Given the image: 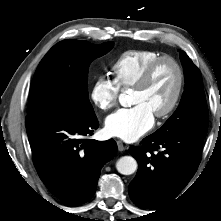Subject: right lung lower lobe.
I'll return each mask as SVG.
<instances>
[{
  "instance_id": "98d812e1",
  "label": "right lung lower lobe",
  "mask_w": 221,
  "mask_h": 221,
  "mask_svg": "<svg viewBox=\"0 0 221 221\" xmlns=\"http://www.w3.org/2000/svg\"><path fill=\"white\" fill-rule=\"evenodd\" d=\"M98 126L96 116L82 118L41 112L26 118L38 175L50 192L67 204H83L93 197L102 166L117 151L113 139L84 138Z\"/></svg>"
}]
</instances>
